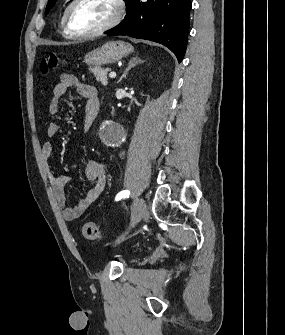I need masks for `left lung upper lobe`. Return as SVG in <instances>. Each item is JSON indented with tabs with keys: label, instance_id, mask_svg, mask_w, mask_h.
<instances>
[{
	"label": "left lung upper lobe",
	"instance_id": "1",
	"mask_svg": "<svg viewBox=\"0 0 285 335\" xmlns=\"http://www.w3.org/2000/svg\"><path fill=\"white\" fill-rule=\"evenodd\" d=\"M57 0H48V5L45 11V14H47L49 12V10L54 6V4L56 3Z\"/></svg>",
	"mask_w": 285,
	"mask_h": 335
}]
</instances>
